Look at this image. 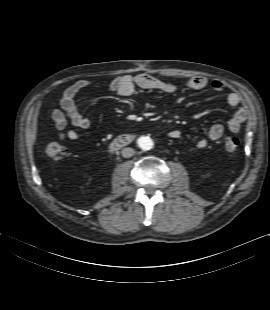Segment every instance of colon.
<instances>
[{"label":"colon","instance_id":"colon-1","mask_svg":"<svg viewBox=\"0 0 270 310\" xmlns=\"http://www.w3.org/2000/svg\"><path fill=\"white\" fill-rule=\"evenodd\" d=\"M240 145V141L235 136H229L225 139V149L227 151H235ZM47 156L54 160L61 159L65 154V148L58 142H50L45 148Z\"/></svg>","mask_w":270,"mask_h":310}]
</instances>
